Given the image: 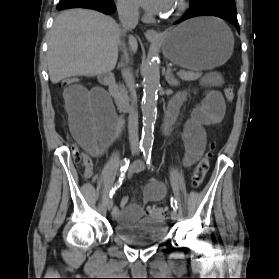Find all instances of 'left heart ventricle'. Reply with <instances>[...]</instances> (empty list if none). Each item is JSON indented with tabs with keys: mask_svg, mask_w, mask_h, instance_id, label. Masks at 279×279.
<instances>
[{
	"mask_svg": "<svg viewBox=\"0 0 279 279\" xmlns=\"http://www.w3.org/2000/svg\"><path fill=\"white\" fill-rule=\"evenodd\" d=\"M177 0H171L168 9L166 10V12L164 13V15H168L170 13H172L176 7V2Z\"/></svg>",
	"mask_w": 279,
	"mask_h": 279,
	"instance_id": "left-heart-ventricle-1",
	"label": "left heart ventricle"
}]
</instances>
